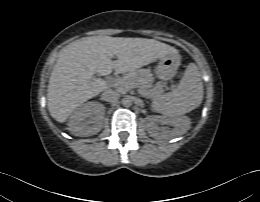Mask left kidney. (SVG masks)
<instances>
[{
    "instance_id": "left-kidney-1",
    "label": "left kidney",
    "mask_w": 260,
    "mask_h": 202,
    "mask_svg": "<svg viewBox=\"0 0 260 202\" xmlns=\"http://www.w3.org/2000/svg\"><path fill=\"white\" fill-rule=\"evenodd\" d=\"M147 120L150 122L149 124V133L152 137L158 139L161 138V136L169 135L171 137H174L179 134V127L183 123H187L188 120L185 118H178L175 116H149L147 117ZM158 124H168L175 126L174 130L171 132H160V129L158 127Z\"/></svg>"
}]
</instances>
